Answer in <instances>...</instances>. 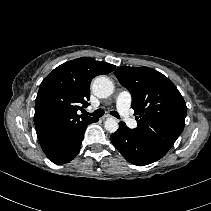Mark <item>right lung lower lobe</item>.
I'll return each instance as SVG.
<instances>
[{
    "label": "right lung lower lobe",
    "mask_w": 211,
    "mask_h": 211,
    "mask_svg": "<svg viewBox=\"0 0 211 211\" xmlns=\"http://www.w3.org/2000/svg\"><path fill=\"white\" fill-rule=\"evenodd\" d=\"M95 119L92 122H97ZM90 122V123H92ZM82 125L72 131L58 145L44 153L55 164H64L71 161L80 151L81 142L84 138V132L88 124Z\"/></svg>",
    "instance_id": "1"
}]
</instances>
